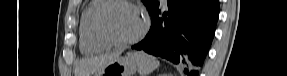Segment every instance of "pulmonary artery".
<instances>
[{"mask_svg": "<svg viewBox=\"0 0 287 76\" xmlns=\"http://www.w3.org/2000/svg\"><path fill=\"white\" fill-rule=\"evenodd\" d=\"M161 2L166 3V0H161Z\"/></svg>", "mask_w": 287, "mask_h": 76, "instance_id": "pulmonary-artery-1", "label": "pulmonary artery"}]
</instances>
